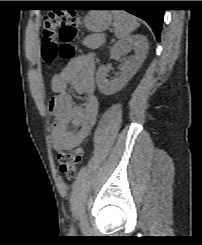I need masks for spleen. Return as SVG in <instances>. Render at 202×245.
<instances>
[{"label":"spleen","instance_id":"1","mask_svg":"<svg viewBox=\"0 0 202 245\" xmlns=\"http://www.w3.org/2000/svg\"><path fill=\"white\" fill-rule=\"evenodd\" d=\"M114 16L115 36L118 39L129 37L139 27L136 18L125 11H112Z\"/></svg>","mask_w":202,"mask_h":245}]
</instances>
